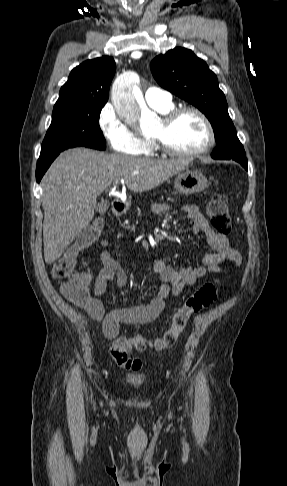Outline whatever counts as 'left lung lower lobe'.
I'll list each match as a JSON object with an SVG mask.
<instances>
[{
  "label": "left lung lower lobe",
  "instance_id": "0a47b994",
  "mask_svg": "<svg viewBox=\"0 0 287 486\" xmlns=\"http://www.w3.org/2000/svg\"><path fill=\"white\" fill-rule=\"evenodd\" d=\"M237 162H239L245 169H247V159H245V160H238Z\"/></svg>",
  "mask_w": 287,
  "mask_h": 486
}]
</instances>
